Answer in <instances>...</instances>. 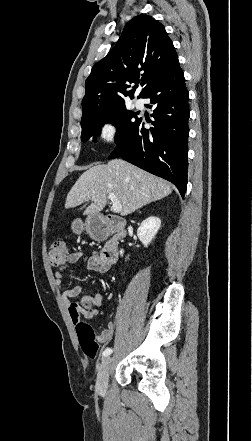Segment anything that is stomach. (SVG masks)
Listing matches in <instances>:
<instances>
[{
    "mask_svg": "<svg viewBox=\"0 0 252 441\" xmlns=\"http://www.w3.org/2000/svg\"><path fill=\"white\" fill-rule=\"evenodd\" d=\"M92 224L93 218L88 217L83 223L82 220L76 219L72 223V229L76 234L82 233L83 230H86L88 233H92Z\"/></svg>",
    "mask_w": 252,
    "mask_h": 441,
    "instance_id": "0dacf381",
    "label": "stomach"
}]
</instances>
